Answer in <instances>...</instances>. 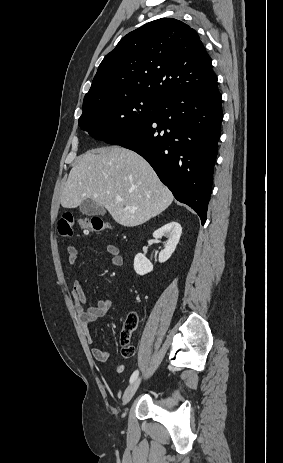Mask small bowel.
Here are the masks:
<instances>
[{
  "mask_svg": "<svg viewBox=\"0 0 283 463\" xmlns=\"http://www.w3.org/2000/svg\"><path fill=\"white\" fill-rule=\"evenodd\" d=\"M105 249L110 255L111 264L113 266H121L123 259L120 255L119 248L115 245L107 244ZM67 252L68 262L70 264H75L79 258L78 249L70 245L67 247ZM71 296L80 313V320L85 331L86 339L91 344L93 342V337L89 331L90 325L98 318L106 315L109 312L113 305V301L111 299L105 298L101 299L96 306L89 307L87 297L83 292L80 282L77 280L73 281L72 283ZM92 355L95 360L99 362H106L109 359V352L99 346H94L92 348ZM112 368L116 373H122L124 371V365L122 363H113Z\"/></svg>",
  "mask_w": 283,
  "mask_h": 463,
  "instance_id": "c3829d8e",
  "label": "small bowel"
}]
</instances>
